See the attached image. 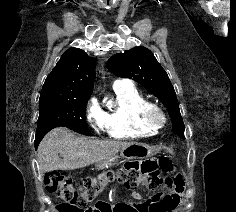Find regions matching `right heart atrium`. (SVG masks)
Wrapping results in <instances>:
<instances>
[{
    "mask_svg": "<svg viewBox=\"0 0 236 212\" xmlns=\"http://www.w3.org/2000/svg\"><path fill=\"white\" fill-rule=\"evenodd\" d=\"M86 117L92 127L100 132L105 129V116L96 99L92 98L88 102Z\"/></svg>",
    "mask_w": 236,
    "mask_h": 212,
    "instance_id": "obj_1",
    "label": "right heart atrium"
}]
</instances>
